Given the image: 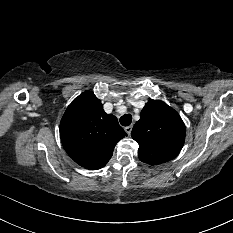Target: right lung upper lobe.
<instances>
[{"label": "right lung upper lobe", "instance_id": "1", "mask_svg": "<svg viewBox=\"0 0 233 233\" xmlns=\"http://www.w3.org/2000/svg\"><path fill=\"white\" fill-rule=\"evenodd\" d=\"M126 135L117 118L106 114L101 101L90 91L68 106L60 123L65 151L77 164L91 170L104 167L117 142Z\"/></svg>", "mask_w": 233, "mask_h": 233}]
</instances>
